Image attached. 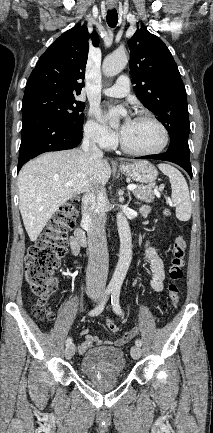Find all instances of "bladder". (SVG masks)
<instances>
[{
  "label": "bladder",
  "instance_id": "1",
  "mask_svg": "<svg viewBox=\"0 0 213 433\" xmlns=\"http://www.w3.org/2000/svg\"><path fill=\"white\" fill-rule=\"evenodd\" d=\"M126 368L122 349L100 346L87 351L80 360V371L88 378H107L120 376Z\"/></svg>",
  "mask_w": 213,
  "mask_h": 433
}]
</instances>
